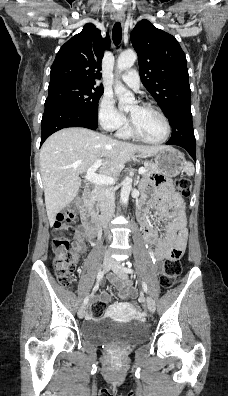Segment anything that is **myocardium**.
Returning <instances> with one entry per match:
<instances>
[{
    "instance_id": "obj_1",
    "label": "myocardium",
    "mask_w": 228,
    "mask_h": 396,
    "mask_svg": "<svg viewBox=\"0 0 228 396\" xmlns=\"http://www.w3.org/2000/svg\"><path fill=\"white\" fill-rule=\"evenodd\" d=\"M139 106L144 108V109L151 110V111L155 112L156 114H158L161 117V119H162V121L164 123V126H165V134H164L163 138H161L160 140H157V141L148 140V139L144 138L138 132V130L134 126L132 120H130L129 132L131 133V135L133 137H135L136 139H138L139 141L144 142L146 144H150V145H160V144H163V143L167 142L169 137H170V135H171V126H170V123H169V120H168L167 116L158 107H156V106H154V105H152L150 103H141Z\"/></svg>"
}]
</instances>
